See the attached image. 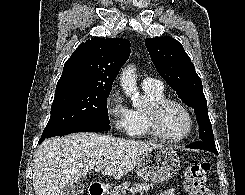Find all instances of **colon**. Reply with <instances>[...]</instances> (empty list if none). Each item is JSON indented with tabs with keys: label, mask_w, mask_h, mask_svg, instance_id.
<instances>
[{
	"label": "colon",
	"mask_w": 245,
	"mask_h": 195,
	"mask_svg": "<svg viewBox=\"0 0 245 195\" xmlns=\"http://www.w3.org/2000/svg\"><path fill=\"white\" fill-rule=\"evenodd\" d=\"M210 171L208 162H199L188 167L185 173V189L189 195H213L206 185Z\"/></svg>",
	"instance_id": "obj_1"
}]
</instances>
